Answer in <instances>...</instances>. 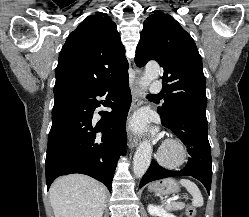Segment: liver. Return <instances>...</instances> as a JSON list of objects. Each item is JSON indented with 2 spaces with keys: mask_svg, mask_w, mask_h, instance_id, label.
<instances>
[{
  "mask_svg": "<svg viewBox=\"0 0 249 217\" xmlns=\"http://www.w3.org/2000/svg\"><path fill=\"white\" fill-rule=\"evenodd\" d=\"M49 196L55 217H102L106 203L104 187L80 174L58 178Z\"/></svg>",
  "mask_w": 249,
  "mask_h": 217,
  "instance_id": "obj_1",
  "label": "liver"
}]
</instances>
